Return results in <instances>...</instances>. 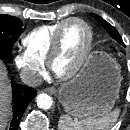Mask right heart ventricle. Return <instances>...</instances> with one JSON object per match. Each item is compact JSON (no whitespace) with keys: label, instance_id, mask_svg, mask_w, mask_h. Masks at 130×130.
Instances as JSON below:
<instances>
[{"label":"right heart ventricle","instance_id":"e07e8e85","mask_svg":"<svg viewBox=\"0 0 130 130\" xmlns=\"http://www.w3.org/2000/svg\"><path fill=\"white\" fill-rule=\"evenodd\" d=\"M65 20L53 24L39 26L22 38V43L29 53L35 59L45 62L47 60L53 38L59 27Z\"/></svg>","mask_w":130,"mask_h":130}]
</instances>
